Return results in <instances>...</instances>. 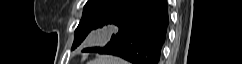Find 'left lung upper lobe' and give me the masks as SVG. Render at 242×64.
I'll return each mask as SVG.
<instances>
[{
  "instance_id": "5c2ea615",
  "label": "left lung upper lobe",
  "mask_w": 242,
  "mask_h": 64,
  "mask_svg": "<svg viewBox=\"0 0 242 64\" xmlns=\"http://www.w3.org/2000/svg\"><path fill=\"white\" fill-rule=\"evenodd\" d=\"M123 0H88L84 6L82 19L75 30L72 50L78 47L89 32L96 29L102 18Z\"/></svg>"
}]
</instances>
